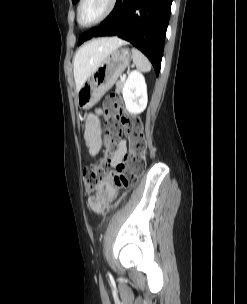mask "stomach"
Segmentation results:
<instances>
[{"label": "stomach", "mask_w": 247, "mask_h": 304, "mask_svg": "<svg viewBox=\"0 0 247 304\" xmlns=\"http://www.w3.org/2000/svg\"><path fill=\"white\" fill-rule=\"evenodd\" d=\"M131 53L128 48H120L109 54L82 86L77 91V105L89 109L108 91L118 77L129 65Z\"/></svg>", "instance_id": "1"}]
</instances>
